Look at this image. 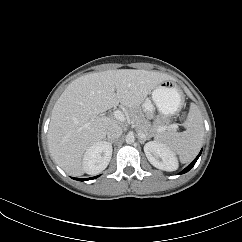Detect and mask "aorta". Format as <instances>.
I'll list each match as a JSON object with an SVG mask.
<instances>
[{
  "label": "aorta",
  "instance_id": "1",
  "mask_svg": "<svg viewBox=\"0 0 242 242\" xmlns=\"http://www.w3.org/2000/svg\"><path fill=\"white\" fill-rule=\"evenodd\" d=\"M125 141H126L127 144L134 143V141H135L134 135L131 134V133L127 134L126 137H125Z\"/></svg>",
  "mask_w": 242,
  "mask_h": 242
}]
</instances>
